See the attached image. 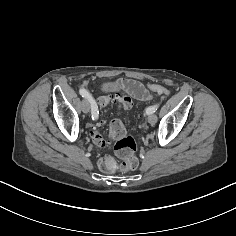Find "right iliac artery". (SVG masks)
<instances>
[{
	"mask_svg": "<svg viewBox=\"0 0 236 236\" xmlns=\"http://www.w3.org/2000/svg\"><path fill=\"white\" fill-rule=\"evenodd\" d=\"M79 93L82 97L88 99V101L91 103V113H92V119L95 120L98 118V109L95 101L91 97V95L85 90V89H80Z\"/></svg>",
	"mask_w": 236,
	"mask_h": 236,
	"instance_id": "obj_1",
	"label": "right iliac artery"
}]
</instances>
